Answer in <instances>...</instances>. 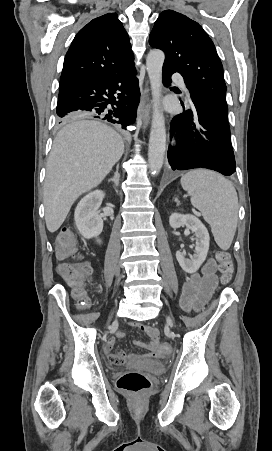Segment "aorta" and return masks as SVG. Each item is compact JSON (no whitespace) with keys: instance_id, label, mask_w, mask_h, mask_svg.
<instances>
[{"instance_id":"762f6f07","label":"aorta","mask_w":272,"mask_h":451,"mask_svg":"<svg viewBox=\"0 0 272 451\" xmlns=\"http://www.w3.org/2000/svg\"><path fill=\"white\" fill-rule=\"evenodd\" d=\"M165 54L162 50H150L146 58V70L150 80L153 102L152 126L149 138L148 162L152 176L159 174L166 150L165 120L160 110L162 92V66Z\"/></svg>"}]
</instances>
